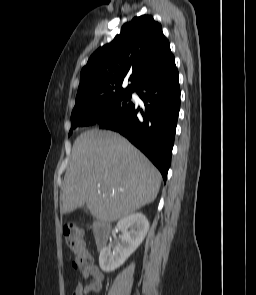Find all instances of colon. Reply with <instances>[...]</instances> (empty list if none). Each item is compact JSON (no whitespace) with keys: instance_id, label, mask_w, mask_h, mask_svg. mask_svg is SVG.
Returning a JSON list of instances; mask_svg holds the SVG:
<instances>
[{"instance_id":"colon-1","label":"colon","mask_w":256,"mask_h":295,"mask_svg":"<svg viewBox=\"0 0 256 295\" xmlns=\"http://www.w3.org/2000/svg\"><path fill=\"white\" fill-rule=\"evenodd\" d=\"M63 238L66 247L72 253L71 264L79 268L92 262V257L82 243V232L74 224H66L63 227Z\"/></svg>"}]
</instances>
